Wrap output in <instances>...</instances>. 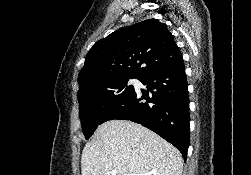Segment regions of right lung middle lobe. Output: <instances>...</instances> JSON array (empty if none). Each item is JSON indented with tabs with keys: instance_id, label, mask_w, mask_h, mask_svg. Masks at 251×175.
I'll use <instances>...</instances> for the list:
<instances>
[{
	"instance_id": "dd1d6c3e",
	"label": "right lung middle lobe",
	"mask_w": 251,
	"mask_h": 175,
	"mask_svg": "<svg viewBox=\"0 0 251 175\" xmlns=\"http://www.w3.org/2000/svg\"><path fill=\"white\" fill-rule=\"evenodd\" d=\"M132 78L137 77L123 76L105 84L79 88V117L86 139L102 124L103 116L134 91V87L128 84Z\"/></svg>"
}]
</instances>
